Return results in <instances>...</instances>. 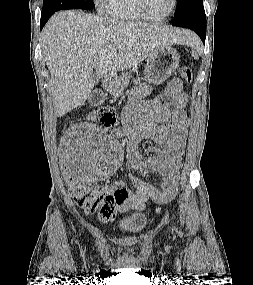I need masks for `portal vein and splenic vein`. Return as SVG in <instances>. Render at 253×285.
I'll return each instance as SVG.
<instances>
[{
  "instance_id": "18ae733b",
  "label": "portal vein and splenic vein",
  "mask_w": 253,
  "mask_h": 285,
  "mask_svg": "<svg viewBox=\"0 0 253 285\" xmlns=\"http://www.w3.org/2000/svg\"><path fill=\"white\" fill-rule=\"evenodd\" d=\"M117 47H118V48H122V45H118Z\"/></svg>"
}]
</instances>
